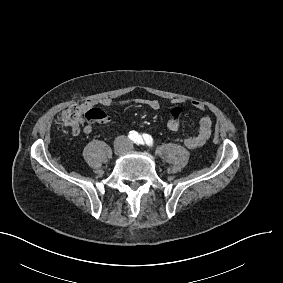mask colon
I'll use <instances>...</instances> for the list:
<instances>
[{"label": "colon", "mask_w": 283, "mask_h": 283, "mask_svg": "<svg viewBox=\"0 0 283 283\" xmlns=\"http://www.w3.org/2000/svg\"><path fill=\"white\" fill-rule=\"evenodd\" d=\"M177 115L172 114L167 122V129L174 133L179 129V123L177 121ZM59 123L62 127L68 128L72 134H78L84 127L85 114H81L77 106H69L59 117Z\"/></svg>", "instance_id": "colon-1"}]
</instances>
